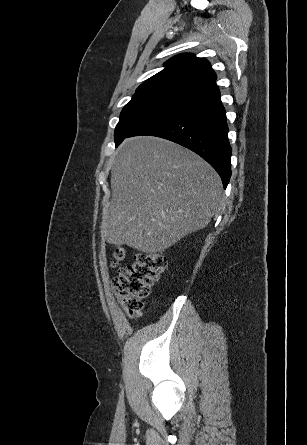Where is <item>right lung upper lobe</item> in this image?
<instances>
[{
  "label": "right lung upper lobe",
  "instance_id": "cb5924a9",
  "mask_svg": "<svg viewBox=\"0 0 307 445\" xmlns=\"http://www.w3.org/2000/svg\"><path fill=\"white\" fill-rule=\"evenodd\" d=\"M215 80L207 60L190 53L179 54L169 59L162 71L142 83L134 96L159 95L188 100L215 87Z\"/></svg>",
  "mask_w": 307,
  "mask_h": 445
}]
</instances>
